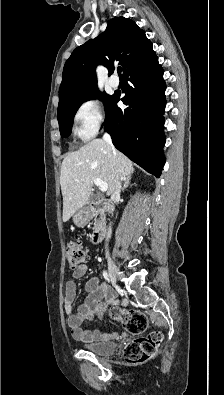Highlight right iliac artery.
I'll list each match as a JSON object with an SVG mask.
<instances>
[{
  "instance_id": "obj_1",
  "label": "right iliac artery",
  "mask_w": 224,
  "mask_h": 395,
  "mask_svg": "<svg viewBox=\"0 0 224 395\" xmlns=\"http://www.w3.org/2000/svg\"><path fill=\"white\" fill-rule=\"evenodd\" d=\"M103 277L105 278V280H106L107 282H110V278H109V276H108V274H107L106 271H103Z\"/></svg>"
}]
</instances>
